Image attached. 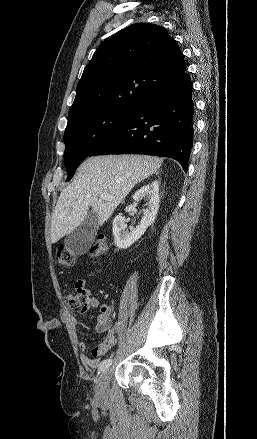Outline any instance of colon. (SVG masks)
<instances>
[{
  "label": "colon",
  "mask_w": 257,
  "mask_h": 439,
  "mask_svg": "<svg viewBox=\"0 0 257 439\" xmlns=\"http://www.w3.org/2000/svg\"><path fill=\"white\" fill-rule=\"evenodd\" d=\"M107 253V242L104 235H99L96 242L90 249V256L94 261L100 260ZM76 260L75 254L65 247H59L55 254V262L59 266L72 265ZM86 290L80 286H75V291L65 295V302L69 309L82 311L84 308Z\"/></svg>",
  "instance_id": "1"
}]
</instances>
